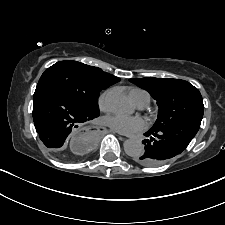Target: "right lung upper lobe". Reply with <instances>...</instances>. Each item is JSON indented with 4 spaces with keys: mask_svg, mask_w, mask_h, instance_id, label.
<instances>
[{
    "mask_svg": "<svg viewBox=\"0 0 225 225\" xmlns=\"http://www.w3.org/2000/svg\"><path fill=\"white\" fill-rule=\"evenodd\" d=\"M91 70L96 74L98 78L107 82L108 84H110V86L120 81L118 77L106 73L102 71L100 68L91 66Z\"/></svg>",
    "mask_w": 225,
    "mask_h": 225,
    "instance_id": "obj_1",
    "label": "right lung upper lobe"
}]
</instances>
